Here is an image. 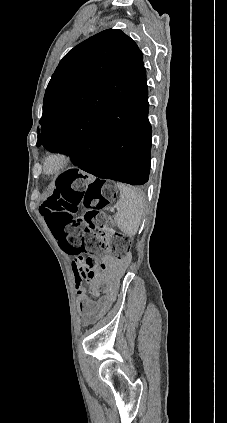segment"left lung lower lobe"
<instances>
[{
    "label": "left lung lower lobe",
    "mask_w": 227,
    "mask_h": 423,
    "mask_svg": "<svg viewBox=\"0 0 227 423\" xmlns=\"http://www.w3.org/2000/svg\"><path fill=\"white\" fill-rule=\"evenodd\" d=\"M148 110L108 112L84 135L57 141L46 149L69 155L74 165L97 177L142 185L150 169ZM77 172L73 169L66 175Z\"/></svg>",
    "instance_id": "obj_1"
}]
</instances>
